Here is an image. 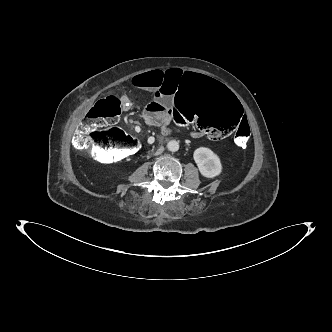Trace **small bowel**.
I'll return each mask as SVG.
<instances>
[{
	"label": "small bowel",
	"instance_id": "obj_1",
	"mask_svg": "<svg viewBox=\"0 0 332 332\" xmlns=\"http://www.w3.org/2000/svg\"><path fill=\"white\" fill-rule=\"evenodd\" d=\"M184 77L180 70H153L135 76L132 84L136 88L148 90L154 93V98L149 102L144 111L143 119L151 126L166 127L173 118V100L176 86ZM131 107L129 99H123V110L128 111ZM193 138L205 137L197 130L191 131Z\"/></svg>",
	"mask_w": 332,
	"mask_h": 332
}]
</instances>
